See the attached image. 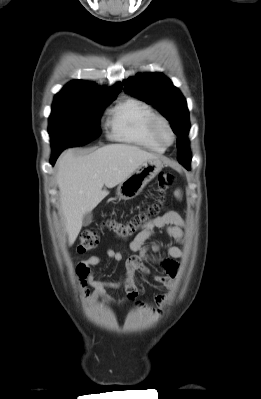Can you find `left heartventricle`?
Masks as SVG:
<instances>
[{"mask_svg":"<svg viewBox=\"0 0 261 399\" xmlns=\"http://www.w3.org/2000/svg\"><path fill=\"white\" fill-rule=\"evenodd\" d=\"M160 132H161L162 137L166 141H170L171 140V134H170V132L168 131V129L165 126H163V125L161 126Z\"/></svg>","mask_w":261,"mask_h":399,"instance_id":"left-heart-ventricle-1","label":"left heart ventricle"}]
</instances>
